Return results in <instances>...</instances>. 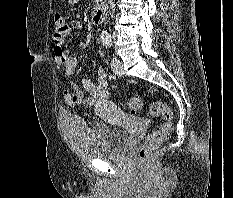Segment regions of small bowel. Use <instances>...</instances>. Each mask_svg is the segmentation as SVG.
Wrapping results in <instances>:
<instances>
[{"instance_id": "obj_1", "label": "small bowel", "mask_w": 233, "mask_h": 198, "mask_svg": "<svg viewBox=\"0 0 233 198\" xmlns=\"http://www.w3.org/2000/svg\"><path fill=\"white\" fill-rule=\"evenodd\" d=\"M82 28L83 24L80 21L66 22L63 30L54 31L52 35L54 67L58 71H62L67 77L74 75L78 67V60L65 53L63 43L67 35L73 31H80ZM81 87L89 94L88 97L84 96ZM81 87L72 82L71 90H64L63 98L69 106L84 105L94 107L97 114L103 117L117 115V109L108 101V78L103 68H98L96 82L83 78Z\"/></svg>"}]
</instances>
